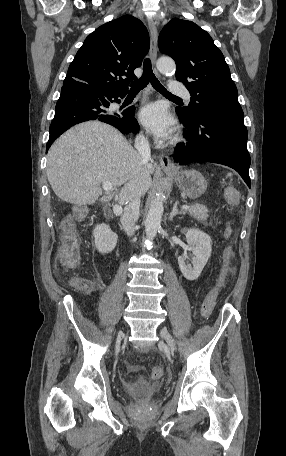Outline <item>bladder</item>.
Masks as SVG:
<instances>
[{
	"label": "bladder",
	"mask_w": 286,
	"mask_h": 456,
	"mask_svg": "<svg viewBox=\"0 0 286 456\" xmlns=\"http://www.w3.org/2000/svg\"><path fill=\"white\" fill-rule=\"evenodd\" d=\"M123 391L137 400L149 401L159 391V386L152 385L144 378H139L125 382Z\"/></svg>",
	"instance_id": "31cf9c89"
}]
</instances>
